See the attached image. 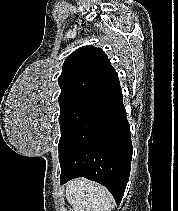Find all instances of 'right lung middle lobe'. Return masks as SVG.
I'll use <instances>...</instances> for the list:
<instances>
[{
  "instance_id": "right-lung-middle-lobe-1",
  "label": "right lung middle lobe",
  "mask_w": 178,
  "mask_h": 211,
  "mask_svg": "<svg viewBox=\"0 0 178 211\" xmlns=\"http://www.w3.org/2000/svg\"><path fill=\"white\" fill-rule=\"evenodd\" d=\"M94 102H78L60 107L59 123L61 129V137L59 146L71 134L74 128L88 114Z\"/></svg>"
}]
</instances>
